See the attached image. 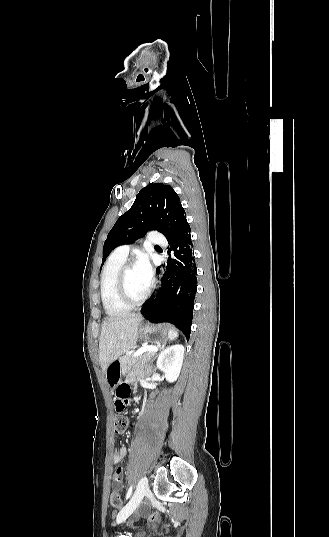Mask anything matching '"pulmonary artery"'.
<instances>
[{
	"instance_id": "pulmonary-artery-1",
	"label": "pulmonary artery",
	"mask_w": 329,
	"mask_h": 537,
	"mask_svg": "<svg viewBox=\"0 0 329 537\" xmlns=\"http://www.w3.org/2000/svg\"><path fill=\"white\" fill-rule=\"evenodd\" d=\"M147 242L155 246L167 244V240L165 239V237L156 231H152L148 234ZM129 251H130L129 245H121L114 250L113 254L119 258L126 260L129 254Z\"/></svg>"
}]
</instances>
